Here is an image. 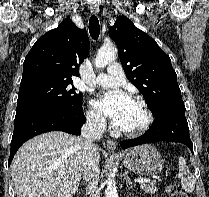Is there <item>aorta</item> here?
Instances as JSON below:
<instances>
[{
	"label": "aorta",
	"instance_id": "1",
	"mask_svg": "<svg viewBox=\"0 0 209 197\" xmlns=\"http://www.w3.org/2000/svg\"><path fill=\"white\" fill-rule=\"evenodd\" d=\"M117 50L114 45H104L98 51V54L95 59V66L97 68H103L108 65L110 62L116 59ZM106 197H118V192L116 188V182L113 178H108L106 181Z\"/></svg>",
	"mask_w": 209,
	"mask_h": 197
}]
</instances>
